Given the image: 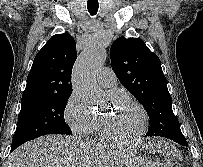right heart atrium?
<instances>
[{"label":"right heart atrium","instance_id":"1","mask_svg":"<svg viewBox=\"0 0 203 167\" xmlns=\"http://www.w3.org/2000/svg\"><path fill=\"white\" fill-rule=\"evenodd\" d=\"M63 116L66 124L76 135L85 136L94 131L96 117L75 92L68 97Z\"/></svg>","mask_w":203,"mask_h":167}]
</instances>
